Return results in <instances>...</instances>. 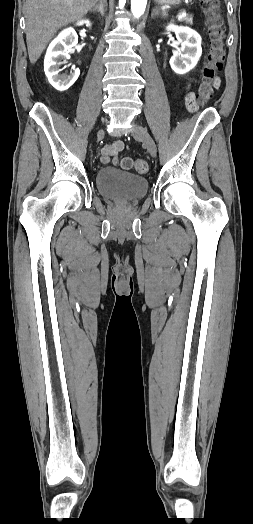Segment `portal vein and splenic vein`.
I'll return each instance as SVG.
<instances>
[{
    "label": "portal vein and splenic vein",
    "instance_id": "18ae733b",
    "mask_svg": "<svg viewBox=\"0 0 253 524\" xmlns=\"http://www.w3.org/2000/svg\"><path fill=\"white\" fill-rule=\"evenodd\" d=\"M186 16H187L186 11L183 10V11H181V12L178 14V19H179V20H180V19H183V18H185Z\"/></svg>",
    "mask_w": 253,
    "mask_h": 524
}]
</instances>
